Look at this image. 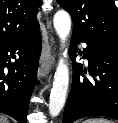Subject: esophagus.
Returning a JSON list of instances; mask_svg holds the SVG:
<instances>
[{
	"label": "esophagus",
	"mask_w": 118,
	"mask_h": 123,
	"mask_svg": "<svg viewBox=\"0 0 118 123\" xmlns=\"http://www.w3.org/2000/svg\"><path fill=\"white\" fill-rule=\"evenodd\" d=\"M49 28V26H48ZM53 44V38L50 39V46L48 49H44L42 56H41V63L44 65L42 69L39 70L38 75L40 77H45L49 70L54 66L55 64V56H54V49L52 47Z\"/></svg>",
	"instance_id": "1"
}]
</instances>
